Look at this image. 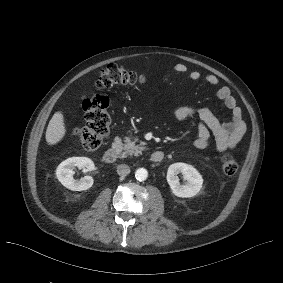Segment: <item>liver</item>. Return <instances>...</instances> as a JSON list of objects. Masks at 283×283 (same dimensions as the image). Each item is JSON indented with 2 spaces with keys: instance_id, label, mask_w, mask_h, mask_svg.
I'll use <instances>...</instances> for the list:
<instances>
[{
  "instance_id": "obj_1",
  "label": "liver",
  "mask_w": 283,
  "mask_h": 283,
  "mask_svg": "<svg viewBox=\"0 0 283 283\" xmlns=\"http://www.w3.org/2000/svg\"><path fill=\"white\" fill-rule=\"evenodd\" d=\"M64 119L61 112H56L46 130V141L49 145L56 144L65 135Z\"/></svg>"
}]
</instances>
